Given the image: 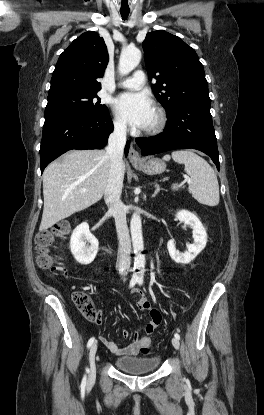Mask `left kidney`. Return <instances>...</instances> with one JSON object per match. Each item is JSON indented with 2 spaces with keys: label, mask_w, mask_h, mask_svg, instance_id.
I'll return each instance as SVG.
<instances>
[{
  "label": "left kidney",
  "mask_w": 264,
  "mask_h": 415,
  "mask_svg": "<svg viewBox=\"0 0 264 415\" xmlns=\"http://www.w3.org/2000/svg\"><path fill=\"white\" fill-rule=\"evenodd\" d=\"M176 218L184 222L185 225H189L192 227V237L194 243L189 244L187 251H185L184 253L176 249L174 240L168 241L167 248L170 257L176 263L188 264L191 261H193L196 258V256L205 248L207 243L206 229L204 228L199 218L195 214L187 210H179L176 213Z\"/></svg>",
  "instance_id": "obj_1"
}]
</instances>
